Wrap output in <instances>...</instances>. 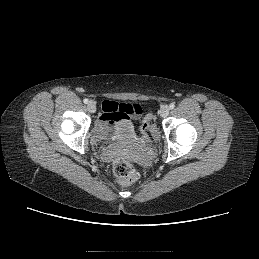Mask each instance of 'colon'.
Listing matches in <instances>:
<instances>
[{
	"label": "colon",
	"instance_id": "1",
	"mask_svg": "<svg viewBox=\"0 0 259 259\" xmlns=\"http://www.w3.org/2000/svg\"><path fill=\"white\" fill-rule=\"evenodd\" d=\"M153 116L147 114L141 124V133L144 140H148V133L152 127ZM113 171L118 182L122 185L133 183L138 178V171L135 166L125 159H116L113 163Z\"/></svg>",
	"mask_w": 259,
	"mask_h": 259
}]
</instances>
